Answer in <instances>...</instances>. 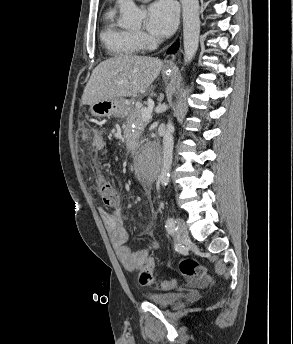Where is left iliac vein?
<instances>
[{
  "instance_id": "obj_1",
  "label": "left iliac vein",
  "mask_w": 293,
  "mask_h": 344,
  "mask_svg": "<svg viewBox=\"0 0 293 344\" xmlns=\"http://www.w3.org/2000/svg\"><path fill=\"white\" fill-rule=\"evenodd\" d=\"M177 222H178V228L176 230V236L180 241H184L189 236L186 223L182 218H178Z\"/></svg>"
}]
</instances>
